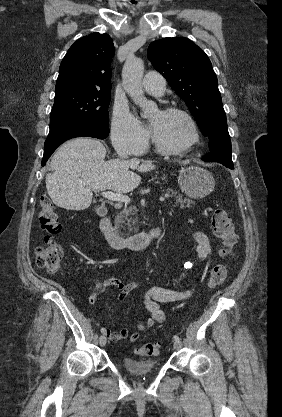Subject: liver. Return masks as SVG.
Masks as SVG:
<instances>
[{
  "label": "liver",
  "instance_id": "1",
  "mask_svg": "<svg viewBox=\"0 0 282 417\" xmlns=\"http://www.w3.org/2000/svg\"><path fill=\"white\" fill-rule=\"evenodd\" d=\"M106 148L91 136H78L67 140L54 152L51 170L46 174L47 192L56 206L67 211L88 209L93 198L92 190L130 192L140 184V172L153 170L155 164L138 158H112L104 160Z\"/></svg>",
  "mask_w": 282,
  "mask_h": 417
}]
</instances>
